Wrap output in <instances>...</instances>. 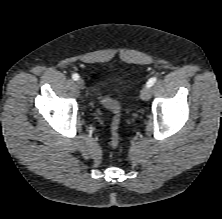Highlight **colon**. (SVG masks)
I'll return each instance as SVG.
<instances>
[{"mask_svg": "<svg viewBox=\"0 0 222 219\" xmlns=\"http://www.w3.org/2000/svg\"><path fill=\"white\" fill-rule=\"evenodd\" d=\"M102 103L110 109L114 114V119L111 124V144L112 146H117L119 143V114H120V107L117 102L112 100H103Z\"/></svg>", "mask_w": 222, "mask_h": 219, "instance_id": "colon-1", "label": "colon"}]
</instances>
